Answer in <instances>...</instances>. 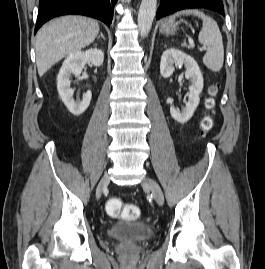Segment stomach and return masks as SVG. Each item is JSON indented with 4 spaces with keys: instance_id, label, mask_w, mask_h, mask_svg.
<instances>
[{
    "instance_id": "stomach-1",
    "label": "stomach",
    "mask_w": 265,
    "mask_h": 269,
    "mask_svg": "<svg viewBox=\"0 0 265 269\" xmlns=\"http://www.w3.org/2000/svg\"><path fill=\"white\" fill-rule=\"evenodd\" d=\"M178 22H171L170 20H164L160 26V32L164 35H171L177 29Z\"/></svg>"
}]
</instances>
